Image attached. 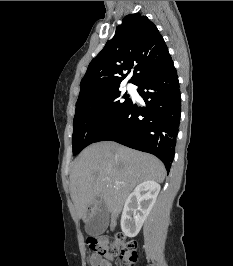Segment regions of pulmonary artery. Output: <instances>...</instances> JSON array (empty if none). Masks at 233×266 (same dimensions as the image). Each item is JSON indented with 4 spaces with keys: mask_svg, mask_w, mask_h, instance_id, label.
<instances>
[{
    "mask_svg": "<svg viewBox=\"0 0 233 266\" xmlns=\"http://www.w3.org/2000/svg\"><path fill=\"white\" fill-rule=\"evenodd\" d=\"M127 89H128V90H133V86H132L131 84H128V85H127Z\"/></svg>",
    "mask_w": 233,
    "mask_h": 266,
    "instance_id": "1",
    "label": "pulmonary artery"
}]
</instances>
